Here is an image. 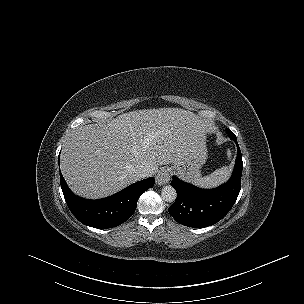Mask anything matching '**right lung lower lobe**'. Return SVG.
<instances>
[{"mask_svg": "<svg viewBox=\"0 0 304 304\" xmlns=\"http://www.w3.org/2000/svg\"><path fill=\"white\" fill-rule=\"evenodd\" d=\"M60 183L72 214L87 226L105 229L116 227L133 215L140 195L153 187L154 178L133 183L120 192L99 200H87L73 194L61 174Z\"/></svg>", "mask_w": 304, "mask_h": 304, "instance_id": "1", "label": "right lung lower lobe"}]
</instances>
